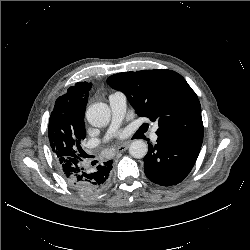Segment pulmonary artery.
<instances>
[{
	"label": "pulmonary artery",
	"mask_w": 250,
	"mask_h": 250,
	"mask_svg": "<svg viewBox=\"0 0 250 250\" xmlns=\"http://www.w3.org/2000/svg\"><path fill=\"white\" fill-rule=\"evenodd\" d=\"M108 100L111 109L112 119L110 127L105 137L106 139L109 138L114 133V131L122 121L127 107L126 96L121 92H115L110 94ZM156 130H157L156 127L153 128V132L151 134V138L153 141H156L158 139Z\"/></svg>",
	"instance_id": "obj_1"
}]
</instances>
